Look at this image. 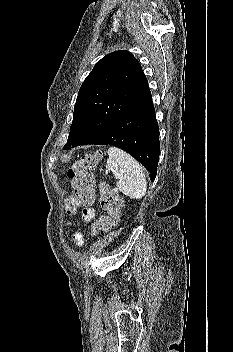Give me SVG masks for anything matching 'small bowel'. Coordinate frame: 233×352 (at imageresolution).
Wrapping results in <instances>:
<instances>
[{
    "mask_svg": "<svg viewBox=\"0 0 233 352\" xmlns=\"http://www.w3.org/2000/svg\"><path fill=\"white\" fill-rule=\"evenodd\" d=\"M94 217V210L92 208H86L84 211H83V218L84 220L86 221H89L91 220L92 218ZM74 240H75V243L78 247L82 246L83 244V237L80 233H75L74 235Z\"/></svg>",
    "mask_w": 233,
    "mask_h": 352,
    "instance_id": "c3829d8e",
    "label": "small bowel"
}]
</instances>
